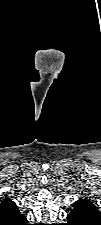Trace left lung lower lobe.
Listing matches in <instances>:
<instances>
[{
	"label": "left lung lower lobe",
	"mask_w": 101,
	"mask_h": 225,
	"mask_svg": "<svg viewBox=\"0 0 101 225\" xmlns=\"http://www.w3.org/2000/svg\"><path fill=\"white\" fill-rule=\"evenodd\" d=\"M65 225H101L100 213L83 207H75L68 215Z\"/></svg>",
	"instance_id": "0a47b994"
}]
</instances>
